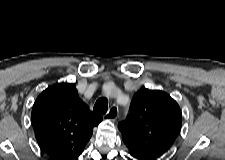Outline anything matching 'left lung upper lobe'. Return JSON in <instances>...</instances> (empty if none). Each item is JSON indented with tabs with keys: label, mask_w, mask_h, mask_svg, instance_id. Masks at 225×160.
Masks as SVG:
<instances>
[{
	"label": "left lung upper lobe",
	"mask_w": 225,
	"mask_h": 160,
	"mask_svg": "<svg viewBox=\"0 0 225 160\" xmlns=\"http://www.w3.org/2000/svg\"><path fill=\"white\" fill-rule=\"evenodd\" d=\"M130 155L141 160L162 157L181 129V111L167 93L142 87L132 100L131 114L118 124Z\"/></svg>",
	"instance_id": "obj_1"
}]
</instances>
